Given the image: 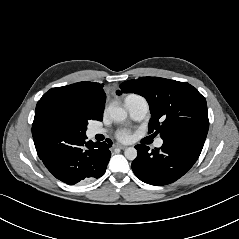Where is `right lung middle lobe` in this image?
Wrapping results in <instances>:
<instances>
[{"label":"right lung middle lobe","mask_w":239,"mask_h":239,"mask_svg":"<svg viewBox=\"0 0 239 239\" xmlns=\"http://www.w3.org/2000/svg\"><path fill=\"white\" fill-rule=\"evenodd\" d=\"M87 109L61 97L41 98L36 106L32 135L36 149H42L69 136H83L88 121Z\"/></svg>","instance_id":"right-lung-middle-lobe-1"}]
</instances>
